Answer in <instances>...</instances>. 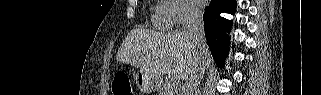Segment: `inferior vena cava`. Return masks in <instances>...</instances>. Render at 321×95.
Listing matches in <instances>:
<instances>
[{
    "instance_id": "inferior-vena-cava-1",
    "label": "inferior vena cava",
    "mask_w": 321,
    "mask_h": 95,
    "mask_svg": "<svg viewBox=\"0 0 321 95\" xmlns=\"http://www.w3.org/2000/svg\"><path fill=\"white\" fill-rule=\"evenodd\" d=\"M187 29L197 47V66L195 70L186 78L181 88L180 95H196L205 69L206 62L204 59V49L206 47L204 23L202 11L195 6L188 9Z\"/></svg>"
}]
</instances>
